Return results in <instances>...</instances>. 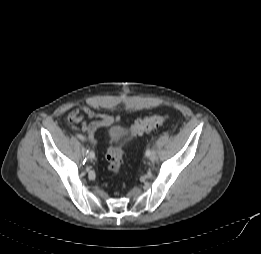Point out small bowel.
Instances as JSON below:
<instances>
[{
    "label": "small bowel",
    "mask_w": 261,
    "mask_h": 254,
    "mask_svg": "<svg viewBox=\"0 0 261 254\" xmlns=\"http://www.w3.org/2000/svg\"><path fill=\"white\" fill-rule=\"evenodd\" d=\"M118 117L99 114L88 106L73 109L69 112L67 121L71 127L81 126V131L92 144H96L95 133L98 129L111 125L118 121Z\"/></svg>",
    "instance_id": "obj_1"
}]
</instances>
